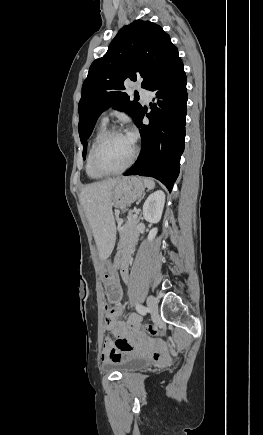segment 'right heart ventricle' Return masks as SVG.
Here are the masks:
<instances>
[{
    "label": "right heart ventricle",
    "instance_id": "e07e8e85",
    "mask_svg": "<svg viewBox=\"0 0 263 435\" xmlns=\"http://www.w3.org/2000/svg\"><path fill=\"white\" fill-rule=\"evenodd\" d=\"M105 131H106V123H105V122H102V123L98 126V128H97V130H96V132H95V134H94V136H93V138H92V140H91V143H90V145H89V148H88V152H87V156H86V162H85V172H86L87 176H88L90 179H100V178L103 177V175L97 173V172L92 168V165H91V153H92V149H93L94 144L96 143V141L99 139V137H100V136H101Z\"/></svg>",
    "mask_w": 263,
    "mask_h": 435
}]
</instances>
